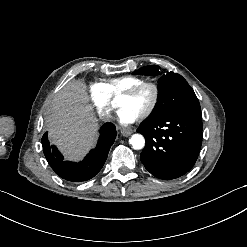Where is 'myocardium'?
Returning <instances> with one entry per match:
<instances>
[{"label":"myocardium","instance_id":"obj_1","mask_svg":"<svg viewBox=\"0 0 247 247\" xmlns=\"http://www.w3.org/2000/svg\"><path fill=\"white\" fill-rule=\"evenodd\" d=\"M148 89L151 92L150 104L148 109L142 114V118H149L155 111V108L159 102L160 91L156 84L150 82H144L127 92L132 97H137L141 91Z\"/></svg>","mask_w":247,"mask_h":247}]
</instances>
